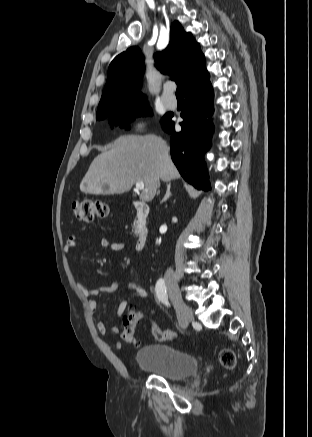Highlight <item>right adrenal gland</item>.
I'll list each match as a JSON object with an SVG mask.
<instances>
[{"label": "right adrenal gland", "instance_id": "2a0ac1e0", "mask_svg": "<svg viewBox=\"0 0 312 437\" xmlns=\"http://www.w3.org/2000/svg\"><path fill=\"white\" fill-rule=\"evenodd\" d=\"M170 188H171V183H168L166 194H165L164 198L162 199L161 203L167 201V199L172 195Z\"/></svg>", "mask_w": 312, "mask_h": 437}]
</instances>
